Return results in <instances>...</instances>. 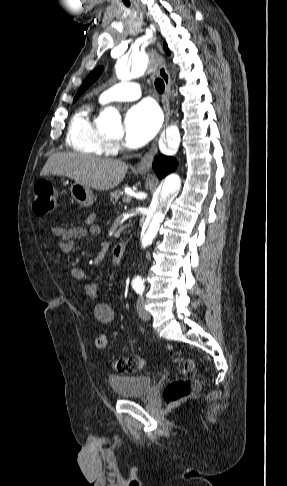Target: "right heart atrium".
I'll return each instance as SVG.
<instances>
[{
    "mask_svg": "<svg viewBox=\"0 0 287 486\" xmlns=\"http://www.w3.org/2000/svg\"><path fill=\"white\" fill-rule=\"evenodd\" d=\"M112 147H113V149H114V148L116 147V145H115V144H112Z\"/></svg>",
    "mask_w": 287,
    "mask_h": 486,
    "instance_id": "obj_1",
    "label": "right heart atrium"
}]
</instances>
